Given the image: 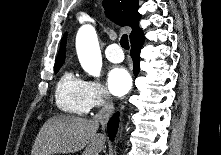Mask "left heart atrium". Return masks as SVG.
Here are the masks:
<instances>
[{"label":"left heart atrium","mask_w":221,"mask_h":155,"mask_svg":"<svg viewBox=\"0 0 221 155\" xmlns=\"http://www.w3.org/2000/svg\"><path fill=\"white\" fill-rule=\"evenodd\" d=\"M108 87L116 96L125 95L131 87V77L122 67H115L108 73Z\"/></svg>","instance_id":"1"}]
</instances>
